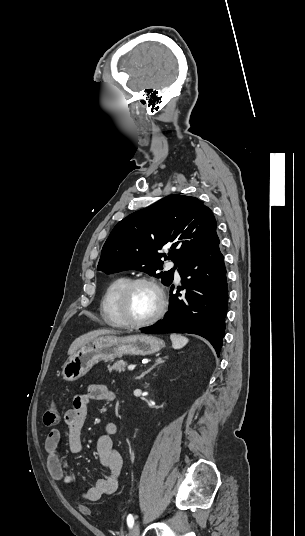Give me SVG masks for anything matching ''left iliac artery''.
<instances>
[{
  "label": "left iliac artery",
  "mask_w": 305,
  "mask_h": 536,
  "mask_svg": "<svg viewBox=\"0 0 305 536\" xmlns=\"http://www.w3.org/2000/svg\"><path fill=\"white\" fill-rule=\"evenodd\" d=\"M127 524L129 526V528H131L133 526V524H134V518H133V516L131 514H129L128 517H127Z\"/></svg>",
  "instance_id": "44dca946"
}]
</instances>
